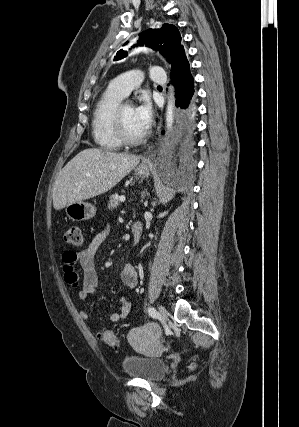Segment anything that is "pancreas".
Listing matches in <instances>:
<instances>
[{
	"instance_id": "cf45deb5",
	"label": "pancreas",
	"mask_w": 299,
	"mask_h": 427,
	"mask_svg": "<svg viewBox=\"0 0 299 427\" xmlns=\"http://www.w3.org/2000/svg\"><path fill=\"white\" fill-rule=\"evenodd\" d=\"M119 205H120V200H119L118 194L111 195L109 203H108V208L110 210H113V209L117 208Z\"/></svg>"
}]
</instances>
